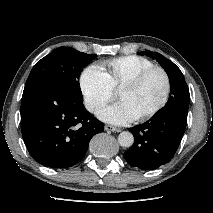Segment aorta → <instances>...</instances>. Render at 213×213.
Wrapping results in <instances>:
<instances>
[{
	"mask_svg": "<svg viewBox=\"0 0 213 213\" xmlns=\"http://www.w3.org/2000/svg\"><path fill=\"white\" fill-rule=\"evenodd\" d=\"M118 142L122 147H131L134 143V136L129 131H123L118 136Z\"/></svg>",
	"mask_w": 213,
	"mask_h": 213,
	"instance_id": "obj_1",
	"label": "aorta"
}]
</instances>
